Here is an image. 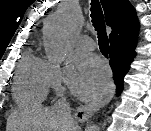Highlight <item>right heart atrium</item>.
<instances>
[{"mask_svg": "<svg viewBox=\"0 0 151 131\" xmlns=\"http://www.w3.org/2000/svg\"><path fill=\"white\" fill-rule=\"evenodd\" d=\"M48 79L50 88L55 90H59L61 88L63 74L59 65L48 63Z\"/></svg>", "mask_w": 151, "mask_h": 131, "instance_id": "1", "label": "right heart atrium"}]
</instances>
